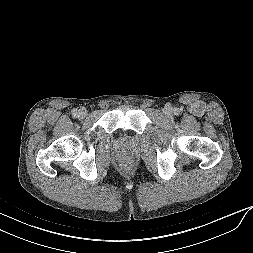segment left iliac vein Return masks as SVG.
Wrapping results in <instances>:
<instances>
[{
	"label": "left iliac vein",
	"mask_w": 253,
	"mask_h": 253,
	"mask_svg": "<svg viewBox=\"0 0 253 253\" xmlns=\"http://www.w3.org/2000/svg\"><path fill=\"white\" fill-rule=\"evenodd\" d=\"M165 114L170 115L171 114V109L170 108H165Z\"/></svg>",
	"instance_id": "obj_1"
}]
</instances>
